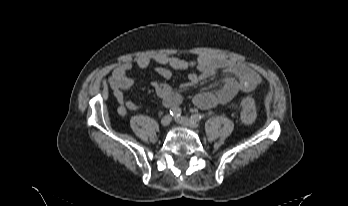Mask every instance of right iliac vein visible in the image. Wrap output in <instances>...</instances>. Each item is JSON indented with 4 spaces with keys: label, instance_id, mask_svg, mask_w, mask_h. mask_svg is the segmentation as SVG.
<instances>
[{
    "label": "right iliac vein",
    "instance_id": "63e3f726",
    "mask_svg": "<svg viewBox=\"0 0 348 206\" xmlns=\"http://www.w3.org/2000/svg\"><path fill=\"white\" fill-rule=\"evenodd\" d=\"M171 116L170 115H166L161 119V124L163 126H168L171 123Z\"/></svg>",
    "mask_w": 348,
    "mask_h": 206
}]
</instances>
